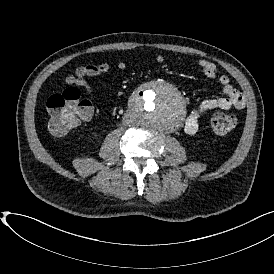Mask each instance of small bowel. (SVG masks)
<instances>
[{"label": "small bowel", "instance_id": "obj_1", "mask_svg": "<svg viewBox=\"0 0 274 274\" xmlns=\"http://www.w3.org/2000/svg\"><path fill=\"white\" fill-rule=\"evenodd\" d=\"M154 61L157 64H163L165 62V57L163 55H157L155 56ZM116 66L120 71H126L128 69V64L125 61H119ZM197 66L207 78L212 80L216 79L219 82L222 86L224 97L203 100L197 108L189 113L184 124V131L189 135L197 133L200 119L207 112L216 109L241 110L246 104L243 93L232 85L231 80L227 75L219 74L215 63L206 59H201L197 61ZM110 70L111 67L108 63L103 62L97 65L88 64L82 68L81 76L75 80V85L83 88L88 93H92L93 88L84 77L102 76L109 73Z\"/></svg>", "mask_w": 274, "mask_h": 274}]
</instances>
